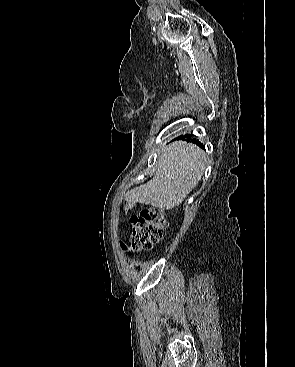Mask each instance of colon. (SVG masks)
<instances>
[{
    "mask_svg": "<svg viewBox=\"0 0 295 367\" xmlns=\"http://www.w3.org/2000/svg\"><path fill=\"white\" fill-rule=\"evenodd\" d=\"M128 207H131V205L129 204ZM131 224L130 247L133 250H142L152 248L163 239L167 220L163 210L149 208L133 215Z\"/></svg>",
    "mask_w": 295,
    "mask_h": 367,
    "instance_id": "obj_1",
    "label": "colon"
}]
</instances>
